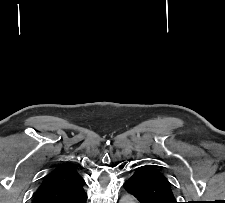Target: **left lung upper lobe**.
I'll return each mask as SVG.
<instances>
[{
  "label": "left lung upper lobe",
  "instance_id": "left-lung-upper-lobe-1",
  "mask_svg": "<svg viewBox=\"0 0 225 203\" xmlns=\"http://www.w3.org/2000/svg\"><path fill=\"white\" fill-rule=\"evenodd\" d=\"M128 180L148 202L177 203L171 183L151 165L136 168Z\"/></svg>",
  "mask_w": 225,
  "mask_h": 203
}]
</instances>
